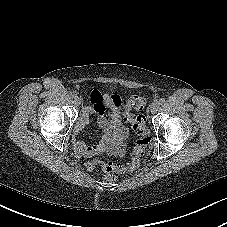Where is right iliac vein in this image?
<instances>
[{"label":"right iliac vein","instance_id":"63e3f726","mask_svg":"<svg viewBox=\"0 0 227 227\" xmlns=\"http://www.w3.org/2000/svg\"><path fill=\"white\" fill-rule=\"evenodd\" d=\"M74 103H75V105L79 106L81 104V98L79 96H75Z\"/></svg>","mask_w":227,"mask_h":227}]
</instances>
